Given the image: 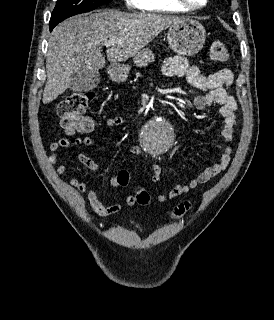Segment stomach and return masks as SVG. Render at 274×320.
I'll use <instances>...</instances> for the list:
<instances>
[{"label":"stomach","mask_w":274,"mask_h":320,"mask_svg":"<svg viewBox=\"0 0 274 320\" xmlns=\"http://www.w3.org/2000/svg\"><path fill=\"white\" fill-rule=\"evenodd\" d=\"M167 38L169 48L178 56H195L205 44L206 32L202 24H199L196 20L182 18V20L175 22L173 26H170ZM133 60L137 68H144L150 62H154V54L151 50L145 48ZM129 70V66L112 64L107 68V74L113 82H124L128 78Z\"/></svg>","instance_id":"obj_1"}]
</instances>
